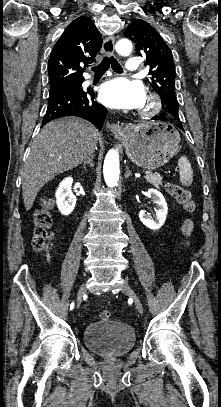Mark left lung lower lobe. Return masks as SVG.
I'll return each mask as SVG.
<instances>
[{
    "mask_svg": "<svg viewBox=\"0 0 221 407\" xmlns=\"http://www.w3.org/2000/svg\"><path fill=\"white\" fill-rule=\"evenodd\" d=\"M153 120H162V121H165L167 118H166V116L162 113L161 115H156V116H154L153 118H152ZM177 119V118H176ZM179 122H180V120L179 119H177ZM179 128H182V125H177Z\"/></svg>",
    "mask_w": 221,
    "mask_h": 407,
    "instance_id": "left-lung-lower-lobe-1",
    "label": "left lung lower lobe"
}]
</instances>
